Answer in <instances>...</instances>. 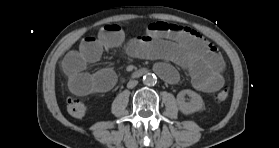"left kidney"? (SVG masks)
<instances>
[{"mask_svg": "<svg viewBox=\"0 0 279 148\" xmlns=\"http://www.w3.org/2000/svg\"><path fill=\"white\" fill-rule=\"evenodd\" d=\"M186 95L191 98L190 102L185 101ZM177 104L180 111L186 115L203 110L204 108V101L202 97L190 89L182 90L177 94Z\"/></svg>", "mask_w": 279, "mask_h": 148, "instance_id": "1", "label": "left kidney"}]
</instances>
